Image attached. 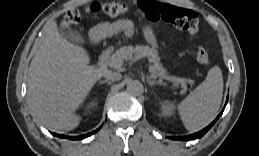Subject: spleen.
<instances>
[{
	"instance_id": "obj_1",
	"label": "spleen",
	"mask_w": 259,
	"mask_h": 156,
	"mask_svg": "<svg viewBox=\"0 0 259 156\" xmlns=\"http://www.w3.org/2000/svg\"><path fill=\"white\" fill-rule=\"evenodd\" d=\"M223 86L221 69L214 66L206 79L179 103L178 113L186 129L200 130L216 117L222 101Z\"/></svg>"
}]
</instances>
